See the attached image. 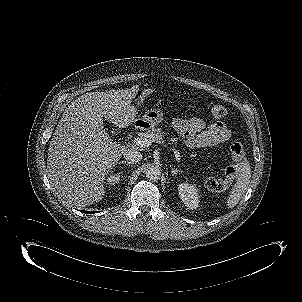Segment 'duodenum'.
I'll list each match as a JSON object with an SVG mask.
<instances>
[{
  "instance_id": "obj_1",
  "label": "duodenum",
  "mask_w": 302,
  "mask_h": 302,
  "mask_svg": "<svg viewBox=\"0 0 302 302\" xmlns=\"http://www.w3.org/2000/svg\"><path fill=\"white\" fill-rule=\"evenodd\" d=\"M134 126L136 128H140L142 126V122L141 121H137V122H135Z\"/></svg>"
}]
</instances>
